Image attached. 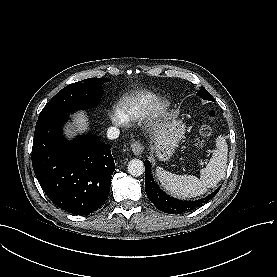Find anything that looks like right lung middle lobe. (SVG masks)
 I'll list each match as a JSON object with an SVG mask.
<instances>
[{"label": "right lung middle lobe", "mask_w": 277, "mask_h": 277, "mask_svg": "<svg viewBox=\"0 0 277 277\" xmlns=\"http://www.w3.org/2000/svg\"><path fill=\"white\" fill-rule=\"evenodd\" d=\"M107 80L89 78L66 86L45 105L38 119L93 107L101 99V84Z\"/></svg>", "instance_id": "obj_1"}]
</instances>
